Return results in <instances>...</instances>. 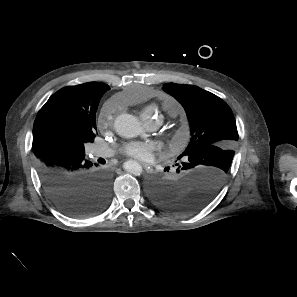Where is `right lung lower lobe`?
<instances>
[{
    "mask_svg": "<svg viewBox=\"0 0 297 297\" xmlns=\"http://www.w3.org/2000/svg\"><path fill=\"white\" fill-rule=\"evenodd\" d=\"M42 186L53 203L71 216L97 213L110 195V178L84 154L52 151L37 162Z\"/></svg>",
    "mask_w": 297,
    "mask_h": 297,
    "instance_id": "98d812e1",
    "label": "right lung lower lobe"
}]
</instances>
